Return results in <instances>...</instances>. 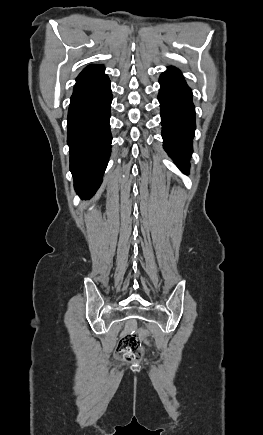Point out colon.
<instances>
[{
    "label": "colon",
    "instance_id": "1",
    "mask_svg": "<svg viewBox=\"0 0 263 435\" xmlns=\"http://www.w3.org/2000/svg\"><path fill=\"white\" fill-rule=\"evenodd\" d=\"M150 333L147 327H140L124 335L117 345L116 356L126 362L137 360L141 355L140 339H148Z\"/></svg>",
    "mask_w": 263,
    "mask_h": 435
}]
</instances>
